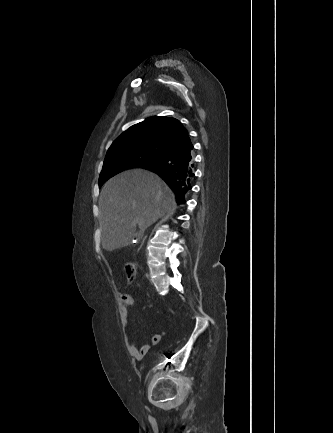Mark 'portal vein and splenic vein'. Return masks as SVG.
<instances>
[{
	"instance_id": "1",
	"label": "portal vein and splenic vein",
	"mask_w": 333,
	"mask_h": 433,
	"mask_svg": "<svg viewBox=\"0 0 333 433\" xmlns=\"http://www.w3.org/2000/svg\"><path fill=\"white\" fill-rule=\"evenodd\" d=\"M136 223H138L139 225L141 224V223H139L138 221H136Z\"/></svg>"
}]
</instances>
